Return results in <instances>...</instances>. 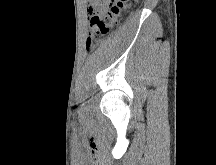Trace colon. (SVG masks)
I'll return each mask as SVG.
<instances>
[{
    "mask_svg": "<svg viewBox=\"0 0 216 165\" xmlns=\"http://www.w3.org/2000/svg\"><path fill=\"white\" fill-rule=\"evenodd\" d=\"M127 0H108V8L101 13L90 12V32L86 47L90 50L102 37L106 36L118 24Z\"/></svg>",
    "mask_w": 216,
    "mask_h": 165,
    "instance_id": "1",
    "label": "colon"
}]
</instances>
